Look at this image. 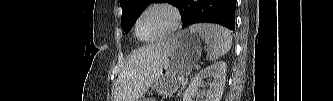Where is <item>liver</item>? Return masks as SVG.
I'll return each mask as SVG.
<instances>
[{
  "mask_svg": "<svg viewBox=\"0 0 333 101\" xmlns=\"http://www.w3.org/2000/svg\"><path fill=\"white\" fill-rule=\"evenodd\" d=\"M167 54L166 41L134 51L118 76L115 101H137L142 98L160 75Z\"/></svg>",
  "mask_w": 333,
  "mask_h": 101,
  "instance_id": "liver-1",
  "label": "liver"
}]
</instances>
